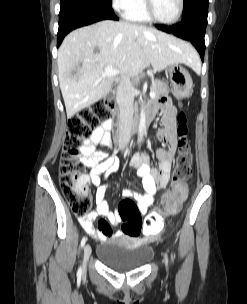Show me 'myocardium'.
<instances>
[{"mask_svg":"<svg viewBox=\"0 0 247 304\" xmlns=\"http://www.w3.org/2000/svg\"><path fill=\"white\" fill-rule=\"evenodd\" d=\"M184 5H185V1L179 0V8H178V12H177L176 16L169 21H163V20H160L155 15L152 0H144L145 11H146V14L149 17V19L155 23L162 24V25H173V24L177 23L183 14Z\"/></svg>","mask_w":247,"mask_h":304,"instance_id":"myocardium-1","label":"myocardium"}]
</instances>
